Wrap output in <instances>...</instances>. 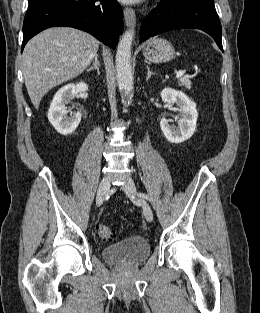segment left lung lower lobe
Here are the masks:
<instances>
[{"label":"left lung lower lobe","instance_id":"left-lung-lower-lobe-1","mask_svg":"<svg viewBox=\"0 0 260 313\" xmlns=\"http://www.w3.org/2000/svg\"><path fill=\"white\" fill-rule=\"evenodd\" d=\"M185 28H196L208 33L223 51L221 23L214 3L203 0H162L144 18L140 41L165 31Z\"/></svg>","mask_w":260,"mask_h":313}]
</instances>
